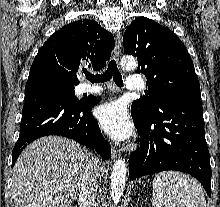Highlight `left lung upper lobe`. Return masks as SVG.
<instances>
[{
	"instance_id": "1",
	"label": "left lung upper lobe",
	"mask_w": 220,
	"mask_h": 207,
	"mask_svg": "<svg viewBox=\"0 0 220 207\" xmlns=\"http://www.w3.org/2000/svg\"><path fill=\"white\" fill-rule=\"evenodd\" d=\"M124 51L138 59V73L148 79V97L132 103V112L153 117L166 100L200 95V85L191 57L176 34L154 20L137 18L123 36Z\"/></svg>"
}]
</instances>
